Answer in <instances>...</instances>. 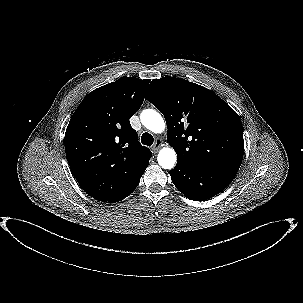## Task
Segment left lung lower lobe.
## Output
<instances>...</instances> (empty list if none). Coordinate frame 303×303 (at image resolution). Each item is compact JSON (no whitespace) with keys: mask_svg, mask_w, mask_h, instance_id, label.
Here are the masks:
<instances>
[{"mask_svg":"<svg viewBox=\"0 0 303 303\" xmlns=\"http://www.w3.org/2000/svg\"><path fill=\"white\" fill-rule=\"evenodd\" d=\"M238 170L226 165L191 166L177 162L169 174L175 187L187 198L203 201L225 189Z\"/></svg>","mask_w":303,"mask_h":303,"instance_id":"1","label":"left lung lower lobe"}]
</instances>
